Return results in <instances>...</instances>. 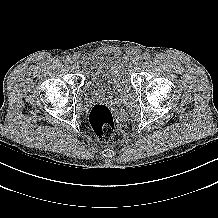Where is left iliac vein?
Returning <instances> with one entry per match:
<instances>
[{"label": "left iliac vein", "mask_w": 218, "mask_h": 218, "mask_svg": "<svg viewBox=\"0 0 218 218\" xmlns=\"http://www.w3.org/2000/svg\"><path fill=\"white\" fill-rule=\"evenodd\" d=\"M137 65L138 64H141L142 63V57L141 56H139L138 58H137V61L135 62Z\"/></svg>", "instance_id": "left-iliac-vein-1"}]
</instances>
